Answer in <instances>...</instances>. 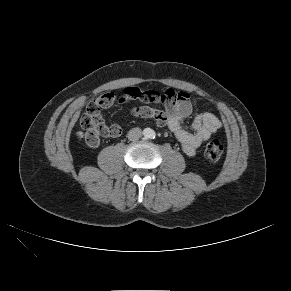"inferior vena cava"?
I'll list each match as a JSON object with an SVG mask.
<instances>
[{
    "mask_svg": "<svg viewBox=\"0 0 291 291\" xmlns=\"http://www.w3.org/2000/svg\"><path fill=\"white\" fill-rule=\"evenodd\" d=\"M142 136V130L138 127L136 128H132L129 132H128V139L130 141H136L138 139H140V137Z\"/></svg>",
    "mask_w": 291,
    "mask_h": 291,
    "instance_id": "inferior-vena-cava-1",
    "label": "inferior vena cava"
}]
</instances>
